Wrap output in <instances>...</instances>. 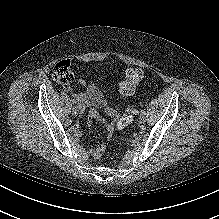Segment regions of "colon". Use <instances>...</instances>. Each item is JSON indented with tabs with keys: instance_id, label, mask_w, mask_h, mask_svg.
I'll use <instances>...</instances> for the list:
<instances>
[{
	"instance_id": "1",
	"label": "colon",
	"mask_w": 219,
	"mask_h": 219,
	"mask_svg": "<svg viewBox=\"0 0 219 219\" xmlns=\"http://www.w3.org/2000/svg\"><path fill=\"white\" fill-rule=\"evenodd\" d=\"M74 73L71 61L64 59L59 61L53 69V78L60 84L68 85L73 80ZM142 78V72L139 69H130L127 72V77L125 80L119 84V92L123 96L132 95L138 83ZM108 112L113 113L110 109ZM136 114V105L134 103L129 104L123 112L121 117H115L113 122L108 125V130L111 132L114 128L119 131L124 130L128 127L134 120ZM95 117V113L91 112L89 115V122L92 123Z\"/></svg>"
}]
</instances>
